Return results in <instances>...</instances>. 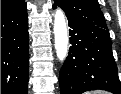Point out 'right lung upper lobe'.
<instances>
[{"instance_id":"obj_1","label":"right lung upper lobe","mask_w":121,"mask_h":94,"mask_svg":"<svg viewBox=\"0 0 121 94\" xmlns=\"http://www.w3.org/2000/svg\"><path fill=\"white\" fill-rule=\"evenodd\" d=\"M24 0H1V12L12 9L22 3Z\"/></svg>"}]
</instances>
